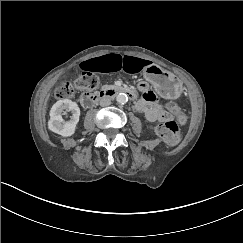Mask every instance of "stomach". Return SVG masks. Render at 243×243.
<instances>
[{
  "label": "stomach",
  "mask_w": 243,
  "mask_h": 243,
  "mask_svg": "<svg viewBox=\"0 0 243 243\" xmlns=\"http://www.w3.org/2000/svg\"><path fill=\"white\" fill-rule=\"evenodd\" d=\"M143 75L162 97L176 99L180 96L182 84L172 73L163 70L157 65L150 64L145 66Z\"/></svg>",
  "instance_id": "0dacf381"
}]
</instances>
